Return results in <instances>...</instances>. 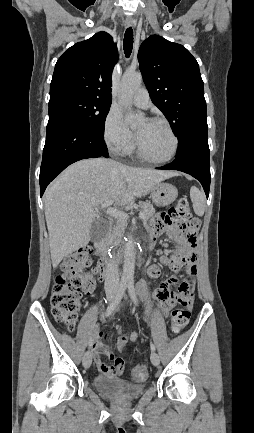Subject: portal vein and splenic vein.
Instances as JSON below:
<instances>
[{"label":"portal vein and splenic vein","instance_id":"18ae733b","mask_svg":"<svg viewBox=\"0 0 254 433\" xmlns=\"http://www.w3.org/2000/svg\"><path fill=\"white\" fill-rule=\"evenodd\" d=\"M113 204V201H108L101 205L102 209H106L107 214L119 219V220H127L129 218L128 214L125 212H122L116 208H112L111 205ZM140 219H145V214L140 213L139 214Z\"/></svg>","mask_w":254,"mask_h":433}]
</instances>
